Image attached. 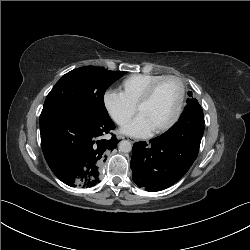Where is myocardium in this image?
<instances>
[{"label":"myocardium","mask_w":250,"mask_h":250,"mask_svg":"<svg viewBox=\"0 0 250 250\" xmlns=\"http://www.w3.org/2000/svg\"><path fill=\"white\" fill-rule=\"evenodd\" d=\"M166 80H175L176 82L179 83L180 95H179L178 103H177L175 112H174L173 116L171 117V119L163 126L151 131V135H159V134H162V133L168 131L177 122V120L179 119L180 114L182 112V107H183V103H184V99H185V92H186L185 85H184L183 80L180 77L174 76V75H166V76H163L160 79L156 80L155 82H153L145 90V92L142 94V96L137 101V103L135 105L136 111L138 112L140 107L143 106L145 103H147L152 98L157 87Z\"/></svg>","instance_id":"1"}]
</instances>
